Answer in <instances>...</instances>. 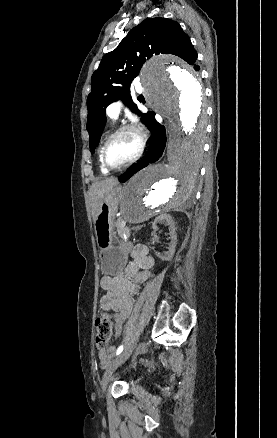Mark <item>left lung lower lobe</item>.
Listing matches in <instances>:
<instances>
[{
    "label": "left lung lower lobe",
    "instance_id": "0a47b994",
    "mask_svg": "<svg viewBox=\"0 0 277 438\" xmlns=\"http://www.w3.org/2000/svg\"><path fill=\"white\" fill-rule=\"evenodd\" d=\"M149 129L152 133V136L149 139V147L145 156L127 169L124 174L119 176V181H127L139 170L147 167L150 163L157 161L162 155L166 144L165 128L155 120L154 116H152Z\"/></svg>",
    "mask_w": 277,
    "mask_h": 438
}]
</instances>
